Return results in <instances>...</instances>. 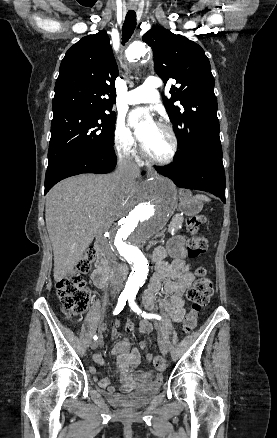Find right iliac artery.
<instances>
[{"instance_id":"obj_1","label":"right iliac artery","mask_w":277,"mask_h":438,"mask_svg":"<svg viewBox=\"0 0 277 438\" xmlns=\"http://www.w3.org/2000/svg\"><path fill=\"white\" fill-rule=\"evenodd\" d=\"M127 299H128V295L122 294V295L119 296L117 306H116V308H115V310L113 312L114 315H117V314H119L122 311V309L124 308V306L126 304ZM93 339L97 340L98 337L95 335L93 337Z\"/></svg>"}]
</instances>
